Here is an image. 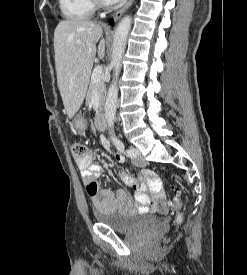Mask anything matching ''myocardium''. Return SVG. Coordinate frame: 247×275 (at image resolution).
<instances>
[{
  "label": "myocardium",
  "mask_w": 247,
  "mask_h": 275,
  "mask_svg": "<svg viewBox=\"0 0 247 275\" xmlns=\"http://www.w3.org/2000/svg\"><path fill=\"white\" fill-rule=\"evenodd\" d=\"M95 4L97 5H106L108 3V0H94Z\"/></svg>",
  "instance_id": "1"
}]
</instances>
